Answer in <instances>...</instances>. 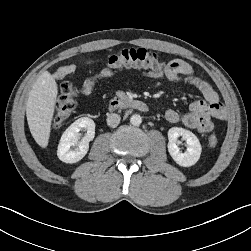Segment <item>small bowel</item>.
I'll use <instances>...</instances> for the list:
<instances>
[{
  "label": "small bowel",
  "instance_id": "1",
  "mask_svg": "<svg viewBox=\"0 0 251 251\" xmlns=\"http://www.w3.org/2000/svg\"><path fill=\"white\" fill-rule=\"evenodd\" d=\"M74 64L61 67L56 73V79L61 80L64 76L75 70ZM109 75L108 71L87 79L80 88L83 95L91 94L97 83ZM143 75L149 78L165 77L172 81H184L193 85L203 96V99L195 100L190 104L188 112L180 114L174 109L165 113L170 123L182 122L184 126L194 129L199 133H209L213 129V121L225 118V111L219 102L216 91L204 80L199 78L193 67L186 61L174 59L168 62L162 71L147 70Z\"/></svg>",
  "mask_w": 251,
  "mask_h": 251
}]
</instances>
